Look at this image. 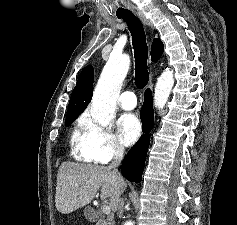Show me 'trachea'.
<instances>
[{
	"mask_svg": "<svg viewBox=\"0 0 237 225\" xmlns=\"http://www.w3.org/2000/svg\"><path fill=\"white\" fill-rule=\"evenodd\" d=\"M118 18L123 19L127 23L131 32L135 56V84L138 88L142 89L149 81L147 66L148 46L143 25L138 17L131 12L118 16Z\"/></svg>",
	"mask_w": 237,
	"mask_h": 225,
	"instance_id": "obj_1",
	"label": "trachea"
}]
</instances>
